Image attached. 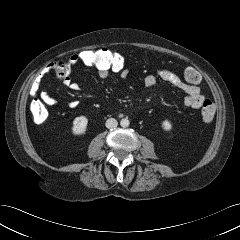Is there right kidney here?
Returning a JSON list of instances; mask_svg holds the SVG:
<instances>
[{
  "label": "right kidney",
  "mask_w": 240,
  "mask_h": 240,
  "mask_svg": "<svg viewBox=\"0 0 240 240\" xmlns=\"http://www.w3.org/2000/svg\"><path fill=\"white\" fill-rule=\"evenodd\" d=\"M88 119L85 116L76 117L73 120L71 131L74 135H83L86 132Z\"/></svg>",
  "instance_id": "obj_1"
}]
</instances>
